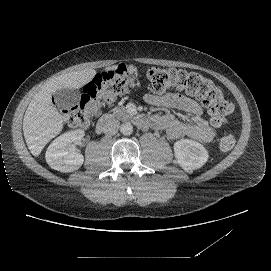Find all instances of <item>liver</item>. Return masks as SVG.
<instances>
[{
  "mask_svg": "<svg viewBox=\"0 0 271 271\" xmlns=\"http://www.w3.org/2000/svg\"><path fill=\"white\" fill-rule=\"evenodd\" d=\"M95 70L86 68L51 78L36 92L23 118V134L33 156H38L45 145L62 128V117L51 102V94L62 88L77 89L92 80Z\"/></svg>",
  "mask_w": 271,
  "mask_h": 271,
  "instance_id": "liver-1",
  "label": "liver"
}]
</instances>
